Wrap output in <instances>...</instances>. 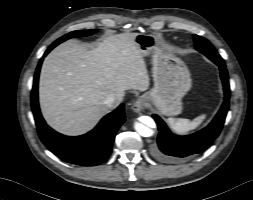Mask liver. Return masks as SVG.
Masks as SVG:
<instances>
[{"instance_id": "6515ba94", "label": "liver", "mask_w": 253, "mask_h": 200, "mask_svg": "<svg viewBox=\"0 0 253 200\" xmlns=\"http://www.w3.org/2000/svg\"><path fill=\"white\" fill-rule=\"evenodd\" d=\"M136 33L106 36L88 50L66 41L44 59L39 101L46 122L58 132L81 135L108 113V96L118 106L126 90L146 91L150 79L144 56L134 42Z\"/></svg>"}]
</instances>
